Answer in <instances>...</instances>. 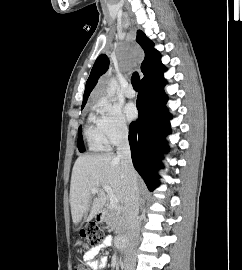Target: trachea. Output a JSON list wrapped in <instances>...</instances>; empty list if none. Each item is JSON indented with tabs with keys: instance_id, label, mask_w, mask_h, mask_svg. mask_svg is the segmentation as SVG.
Segmentation results:
<instances>
[{
	"instance_id": "trachea-1",
	"label": "trachea",
	"mask_w": 242,
	"mask_h": 270,
	"mask_svg": "<svg viewBox=\"0 0 242 270\" xmlns=\"http://www.w3.org/2000/svg\"><path fill=\"white\" fill-rule=\"evenodd\" d=\"M133 88L138 91L140 87V77L137 72H134L131 78Z\"/></svg>"
}]
</instances>
